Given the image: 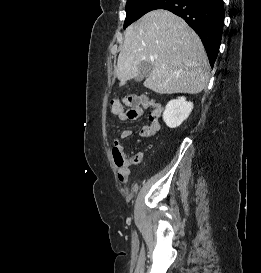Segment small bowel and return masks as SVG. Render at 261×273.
Returning a JSON list of instances; mask_svg holds the SVG:
<instances>
[{
    "mask_svg": "<svg viewBox=\"0 0 261 273\" xmlns=\"http://www.w3.org/2000/svg\"><path fill=\"white\" fill-rule=\"evenodd\" d=\"M141 107H149L152 109V112L149 116L150 122L149 124L145 125L141 129V136L145 138H151L156 136L158 131L160 130V123L158 121V118L160 116L162 107L159 102H157L154 99L150 98H142L140 102ZM119 116V119L122 121H127L129 120L128 117L122 113ZM132 135V131L130 129H125L122 131L120 135V139H126L129 138ZM114 146H118L121 148L120 140H116ZM126 158V163L124 166L119 168L118 171V180L121 183H126L128 181L129 175H130V170L129 167L131 165H137L139 164L142 159H143V153L141 151H136L128 156Z\"/></svg>",
    "mask_w": 261,
    "mask_h": 273,
    "instance_id": "c3829d8e",
    "label": "small bowel"
}]
</instances>
